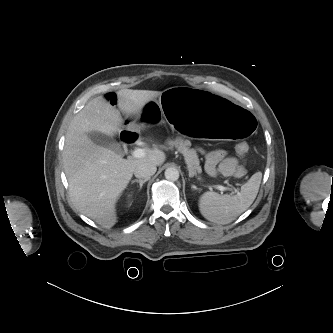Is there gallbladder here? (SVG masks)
Segmentation results:
<instances>
[{"label":"gallbladder","instance_id":"obj_1","mask_svg":"<svg viewBox=\"0 0 333 333\" xmlns=\"http://www.w3.org/2000/svg\"><path fill=\"white\" fill-rule=\"evenodd\" d=\"M89 137L94 143L103 146L105 148H108L119 155L123 154V149L120 143H118L112 137L99 132H91L89 133Z\"/></svg>","mask_w":333,"mask_h":333}]
</instances>
